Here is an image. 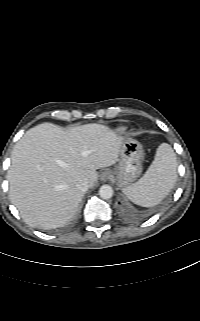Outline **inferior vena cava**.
Returning <instances> with one entry per match:
<instances>
[{
	"label": "inferior vena cava",
	"mask_w": 200,
	"mask_h": 321,
	"mask_svg": "<svg viewBox=\"0 0 200 321\" xmlns=\"http://www.w3.org/2000/svg\"><path fill=\"white\" fill-rule=\"evenodd\" d=\"M76 186L82 192H86L88 189V181L86 179H82L76 184Z\"/></svg>",
	"instance_id": "obj_1"
}]
</instances>
